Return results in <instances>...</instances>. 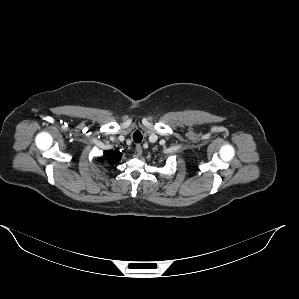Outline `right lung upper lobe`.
Returning a JSON list of instances; mask_svg holds the SVG:
<instances>
[{
	"mask_svg": "<svg viewBox=\"0 0 299 299\" xmlns=\"http://www.w3.org/2000/svg\"><path fill=\"white\" fill-rule=\"evenodd\" d=\"M121 157V153L119 151H107L104 155V160H106L108 163L113 164L115 163L119 158ZM101 161L102 159L99 158ZM103 161V160H102Z\"/></svg>",
	"mask_w": 299,
	"mask_h": 299,
	"instance_id": "1",
	"label": "right lung upper lobe"
}]
</instances>
